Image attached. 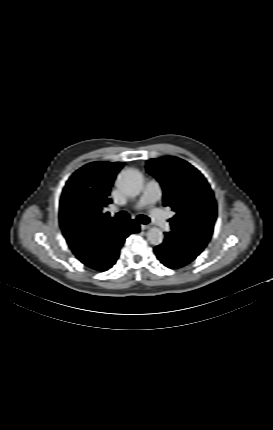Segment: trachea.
I'll list each match as a JSON object with an SVG mask.
<instances>
[{
	"mask_svg": "<svg viewBox=\"0 0 273 430\" xmlns=\"http://www.w3.org/2000/svg\"><path fill=\"white\" fill-rule=\"evenodd\" d=\"M115 220L120 222V223H125L129 220V214L125 211H121V212L116 214ZM137 220L142 224H147L150 222V219L145 215H139L137 217Z\"/></svg>",
	"mask_w": 273,
	"mask_h": 430,
	"instance_id": "1",
	"label": "trachea"
}]
</instances>
